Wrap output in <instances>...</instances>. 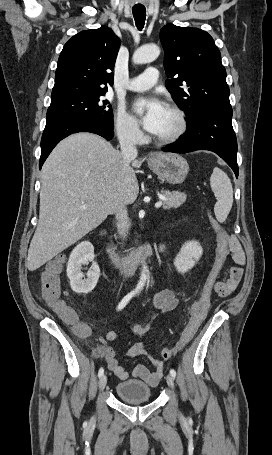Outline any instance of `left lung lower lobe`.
<instances>
[{"mask_svg": "<svg viewBox=\"0 0 272 455\" xmlns=\"http://www.w3.org/2000/svg\"><path fill=\"white\" fill-rule=\"evenodd\" d=\"M232 108L206 111L187 122L186 133L165 152L187 153L209 150L218 154L238 177L237 139L232 127Z\"/></svg>", "mask_w": 272, "mask_h": 455, "instance_id": "0a47b994", "label": "left lung lower lobe"}]
</instances>
